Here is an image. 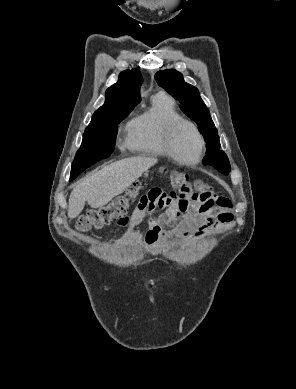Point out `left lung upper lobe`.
<instances>
[{
    "label": "left lung upper lobe",
    "instance_id": "left-lung-upper-lobe-1",
    "mask_svg": "<svg viewBox=\"0 0 296 389\" xmlns=\"http://www.w3.org/2000/svg\"><path fill=\"white\" fill-rule=\"evenodd\" d=\"M155 79L161 87L180 101L183 113L197 123L207 143V155L204 157L203 164L211 165L227 175L230 172L228 157L219 149L220 142L217 130L198 89L184 82L182 74L174 69L157 72Z\"/></svg>",
    "mask_w": 296,
    "mask_h": 389
}]
</instances>
